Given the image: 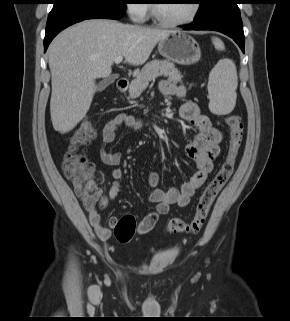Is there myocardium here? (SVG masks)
Wrapping results in <instances>:
<instances>
[{"instance_id": "1", "label": "myocardium", "mask_w": 290, "mask_h": 321, "mask_svg": "<svg viewBox=\"0 0 290 321\" xmlns=\"http://www.w3.org/2000/svg\"><path fill=\"white\" fill-rule=\"evenodd\" d=\"M157 5H158L157 0H154L151 3V5H150L151 15H152V18L154 19V21L158 25L164 26V27H178V26H183V25H187L189 23H192L196 19L197 15L200 11V3L197 0H195V1H193V10L187 18L182 19V20H167L160 15Z\"/></svg>"}]
</instances>
